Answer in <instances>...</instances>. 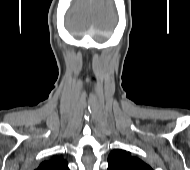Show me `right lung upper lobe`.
I'll list each match as a JSON object with an SVG mask.
<instances>
[{
  "label": "right lung upper lobe",
  "mask_w": 190,
  "mask_h": 170,
  "mask_svg": "<svg viewBox=\"0 0 190 170\" xmlns=\"http://www.w3.org/2000/svg\"><path fill=\"white\" fill-rule=\"evenodd\" d=\"M36 170H69L68 163L60 157L42 162Z\"/></svg>",
  "instance_id": "cb5924a9"
}]
</instances>
